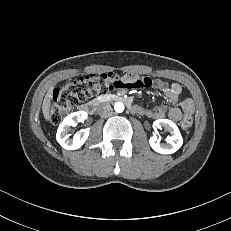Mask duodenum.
Returning a JSON list of instances; mask_svg holds the SVG:
<instances>
[{
  "instance_id": "1",
  "label": "duodenum",
  "mask_w": 231,
  "mask_h": 231,
  "mask_svg": "<svg viewBox=\"0 0 231 231\" xmlns=\"http://www.w3.org/2000/svg\"><path fill=\"white\" fill-rule=\"evenodd\" d=\"M108 100L123 102L131 110L136 111V112L139 111V108L136 105H134L132 98L121 95V94L106 95V96L100 98L97 101H94V102L83 105L81 110L86 112L89 115H92L96 111V108H97V106H98V104L100 102H104V101H108Z\"/></svg>"
}]
</instances>
